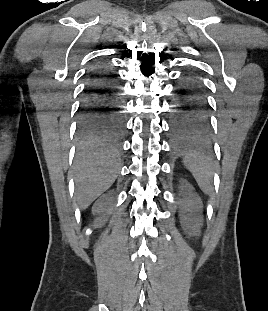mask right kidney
<instances>
[{"mask_svg":"<svg viewBox=\"0 0 268 311\" xmlns=\"http://www.w3.org/2000/svg\"><path fill=\"white\" fill-rule=\"evenodd\" d=\"M113 191L103 194L93 205L92 213L97 215V218L94 222L95 226H100L105 219L108 217L113 208Z\"/></svg>","mask_w":268,"mask_h":311,"instance_id":"right-kidney-1","label":"right kidney"}]
</instances>
